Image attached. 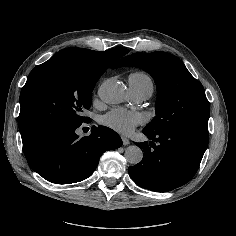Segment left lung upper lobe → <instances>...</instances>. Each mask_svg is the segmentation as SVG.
Segmentation results:
<instances>
[{"instance_id":"1","label":"left lung upper lobe","mask_w":236,"mask_h":236,"mask_svg":"<svg viewBox=\"0 0 236 236\" xmlns=\"http://www.w3.org/2000/svg\"><path fill=\"white\" fill-rule=\"evenodd\" d=\"M122 66L143 69L157 86L156 116L143 131L175 129L208 134L210 105L205 90L178 57L166 52L133 53L112 68Z\"/></svg>"}]
</instances>
